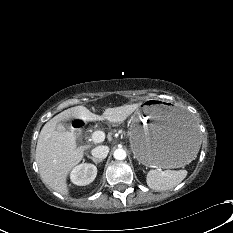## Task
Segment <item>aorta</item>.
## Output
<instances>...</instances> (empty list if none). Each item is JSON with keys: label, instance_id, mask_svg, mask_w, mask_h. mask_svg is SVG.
Returning <instances> with one entry per match:
<instances>
[{"label": "aorta", "instance_id": "aorta-1", "mask_svg": "<svg viewBox=\"0 0 233 233\" xmlns=\"http://www.w3.org/2000/svg\"><path fill=\"white\" fill-rule=\"evenodd\" d=\"M113 156L116 160H124L126 158L127 154H126V151L124 149L118 148L114 151Z\"/></svg>", "mask_w": 233, "mask_h": 233}]
</instances>
